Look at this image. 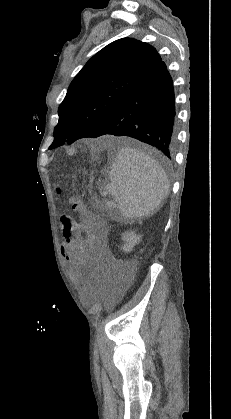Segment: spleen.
Instances as JSON below:
<instances>
[{
  "label": "spleen",
  "mask_w": 231,
  "mask_h": 419,
  "mask_svg": "<svg viewBox=\"0 0 231 419\" xmlns=\"http://www.w3.org/2000/svg\"><path fill=\"white\" fill-rule=\"evenodd\" d=\"M108 176L110 183L104 190L114 202H107V207L119 209L125 218L153 214L169 192L167 175L159 163L130 147L117 151Z\"/></svg>",
  "instance_id": "3e777b00"
}]
</instances>
